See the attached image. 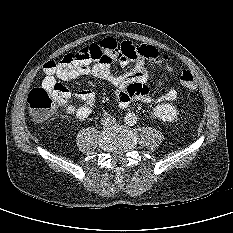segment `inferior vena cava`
<instances>
[{"label":"inferior vena cava","mask_w":233,"mask_h":233,"mask_svg":"<svg viewBox=\"0 0 233 233\" xmlns=\"http://www.w3.org/2000/svg\"><path fill=\"white\" fill-rule=\"evenodd\" d=\"M115 122H116V119L110 115L105 116L104 118L101 119V125L105 127L111 126L115 124Z\"/></svg>","instance_id":"inferior-vena-cava-1"}]
</instances>
